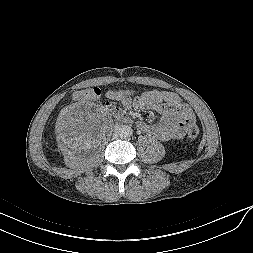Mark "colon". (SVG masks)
<instances>
[{
	"label": "colon",
	"instance_id": "colon-1",
	"mask_svg": "<svg viewBox=\"0 0 253 253\" xmlns=\"http://www.w3.org/2000/svg\"><path fill=\"white\" fill-rule=\"evenodd\" d=\"M114 94L118 98L125 99V98L129 97L130 92L129 91H125V92H122V91L108 92L107 93V98L108 99H113ZM100 95H101L100 89L97 88V87H94V88H90V89H86V90L77 91V92H75L71 95V98L73 100L80 99V98H83V99H97ZM187 134L190 138H196L199 134L198 126L196 124H191L188 127Z\"/></svg>",
	"mask_w": 253,
	"mask_h": 253
}]
</instances>
